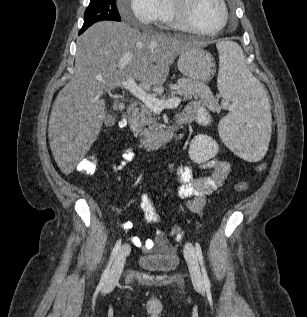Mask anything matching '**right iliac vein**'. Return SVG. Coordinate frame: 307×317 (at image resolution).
Returning a JSON list of instances; mask_svg holds the SVG:
<instances>
[{"label":"right iliac vein","mask_w":307,"mask_h":317,"mask_svg":"<svg viewBox=\"0 0 307 317\" xmlns=\"http://www.w3.org/2000/svg\"><path fill=\"white\" fill-rule=\"evenodd\" d=\"M129 252L130 247L126 244L119 249L114 264L106 280V284L109 287L114 286L119 281V278L124 268L126 257L128 256Z\"/></svg>","instance_id":"63e3f726"}]
</instances>
